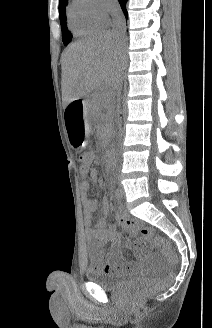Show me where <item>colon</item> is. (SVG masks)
Masks as SVG:
<instances>
[{
    "label": "colon",
    "mask_w": 212,
    "mask_h": 328,
    "mask_svg": "<svg viewBox=\"0 0 212 328\" xmlns=\"http://www.w3.org/2000/svg\"><path fill=\"white\" fill-rule=\"evenodd\" d=\"M77 148V146H76ZM93 158V155L90 152H81L80 153V160L83 163H80L79 165V172L80 173H93V166L91 165V160ZM142 234L144 237L151 239L153 237V233L150 229L148 228H144L141 230ZM153 241L155 244L159 245L162 250L163 253L165 254L166 258L168 259V261L172 264H175L178 260L176 253L172 250V248L170 247V245L164 241L163 239L159 238V237H154ZM154 289L153 285H147L141 289H139L136 292V297L137 298H141L142 296L148 294L149 292H151Z\"/></svg>",
    "instance_id": "5ec220e1"
}]
</instances>
